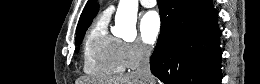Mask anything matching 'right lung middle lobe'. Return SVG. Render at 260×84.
Here are the masks:
<instances>
[{"mask_svg":"<svg viewBox=\"0 0 260 84\" xmlns=\"http://www.w3.org/2000/svg\"><path fill=\"white\" fill-rule=\"evenodd\" d=\"M85 31H86V29L83 30L82 32H80L79 34H76V43H75L76 46H79L81 44ZM77 51H78V48H77Z\"/></svg>","mask_w":260,"mask_h":84,"instance_id":"1","label":"right lung middle lobe"}]
</instances>
